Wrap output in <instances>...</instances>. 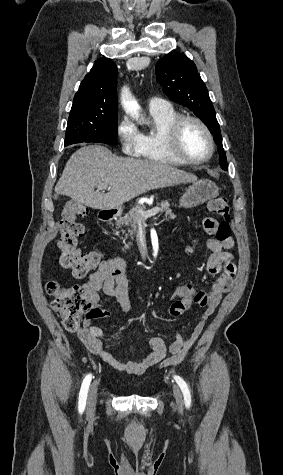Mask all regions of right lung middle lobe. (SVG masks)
Here are the masks:
<instances>
[{
  "label": "right lung middle lobe",
  "mask_w": 283,
  "mask_h": 475,
  "mask_svg": "<svg viewBox=\"0 0 283 475\" xmlns=\"http://www.w3.org/2000/svg\"><path fill=\"white\" fill-rule=\"evenodd\" d=\"M117 105L73 102L65 146L80 142L117 144Z\"/></svg>",
  "instance_id": "dd1d6c3e"
}]
</instances>
